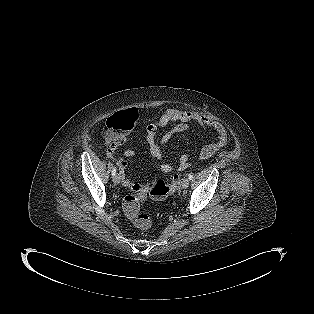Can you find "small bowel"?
<instances>
[{
	"label": "small bowel",
	"mask_w": 314,
	"mask_h": 314,
	"mask_svg": "<svg viewBox=\"0 0 314 314\" xmlns=\"http://www.w3.org/2000/svg\"><path fill=\"white\" fill-rule=\"evenodd\" d=\"M176 123L172 128L167 130L162 136L158 135L160 129H165L170 124ZM190 123H196L203 129H210L215 132L216 138L213 142L207 144L200 151V158L203 160L211 158L228 142V132L226 127L217 120H214L203 113L192 110L167 109L155 121L151 122L145 131V138L149 146L152 156L161 160L163 159V146L166 145L174 135L185 132L189 129ZM127 136L124 135L118 140L108 142L106 155L110 159H115L114 153L116 148L125 143ZM126 158H132L135 154L132 148H127L124 152ZM118 166L122 172L128 169V163L123 158L116 159ZM188 155L183 154L179 158L178 167L185 169L189 167ZM160 170L169 173L173 170V166L169 163H161ZM128 183V179H124Z\"/></svg>",
	"instance_id": "obj_1"
}]
</instances>
